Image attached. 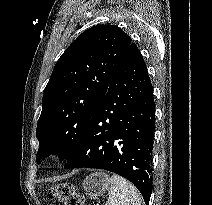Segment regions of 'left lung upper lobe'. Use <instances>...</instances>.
I'll use <instances>...</instances> for the list:
<instances>
[{
	"label": "left lung upper lobe",
	"mask_w": 212,
	"mask_h": 205,
	"mask_svg": "<svg viewBox=\"0 0 212 205\" xmlns=\"http://www.w3.org/2000/svg\"><path fill=\"white\" fill-rule=\"evenodd\" d=\"M131 43L117 26L97 25L81 33L61 55L44 89L36 130L38 163L50 154L69 160L76 153Z\"/></svg>",
	"instance_id": "1"
}]
</instances>
